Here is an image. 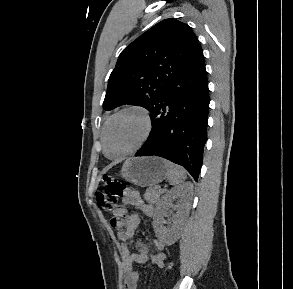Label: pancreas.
Wrapping results in <instances>:
<instances>
[{
    "instance_id": "obj_1",
    "label": "pancreas",
    "mask_w": 293,
    "mask_h": 289,
    "mask_svg": "<svg viewBox=\"0 0 293 289\" xmlns=\"http://www.w3.org/2000/svg\"><path fill=\"white\" fill-rule=\"evenodd\" d=\"M164 193V190H159L156 187H150L146 190L144 198L147 202L155 204L158 202L160 196Z\"/></svg>"
}]
</instances>
